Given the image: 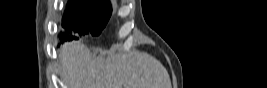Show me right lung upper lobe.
<instances>
[{
  "mask_svg": "<svg viewBox=\"0 0 267 88\" xmlns=\"http://www.w3.org/2000/svg\"><path fill=\"white\" fill-rule=\"evenodd\" d=\"M90 1H102V2H109L108 0H90Z\"/></svg>",
  "mask_w": 267,
  "mask_h": 88,
  "instance_id": "obj_1",
  "label": "right lung upper lobe"
}]
</instances>
